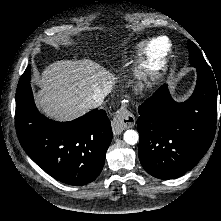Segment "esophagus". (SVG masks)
Segmentation results:
<instances>
[{
	"label": "esophagus",
	"mask_w": 221,
	"mask_h": 221,
	"mask_svg": "<svg viewBox=\"0 0 221 221\" xmlns=\"http://www.w3.org/2000/svg\"><path fill=\"white\" fill-rule=\"evenodd\" d=\"M111 124L113 133L119 135L123 132V130L132 128L135 125V117L126 109L125 106H122L112 120Z\"/></svg>",
	"instance_id": "esophagus-1"
}]
</instances>
